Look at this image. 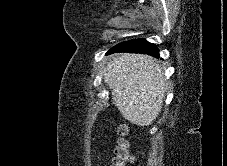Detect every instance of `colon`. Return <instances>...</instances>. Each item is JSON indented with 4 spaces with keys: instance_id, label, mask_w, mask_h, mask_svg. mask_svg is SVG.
Returning a JSON list of instances; mask_svg holds the SVG:
<instances>
[{
    "instance_id": "colon-1",
    "label": "colon",
    "mask_w": 227,
    "mask_h": 166,
    "mask_svg": "<svg viewBox=\"0 0 227 166\" xmlns=\"http://www.w3.org/2000/svg\"><path fill=\"white\" fill-rule=\"evenodd\" d=\"M118 133L120 138L118 140L115 157L113 159V166H127L133 160V155L131 152V147L129 141L124 137L125 135V127L120 126L118 128Z\"/></svg>"
}]
</instances>
